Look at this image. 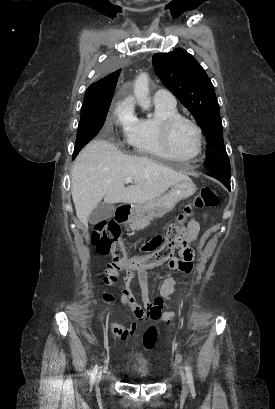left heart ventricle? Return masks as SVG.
<instances>
[{"instance_id": "left-heart-ventricle-1", "label": "left heart ventricle", "mask_w": 275, "mask_h": 409, "mask_svg": "<svg viewBox=\"0 0 275 409\" xmlns=\"http://www.w3.org/2000/svg\"><path fill=\"white\" fill-rule=\"evenodd\" d=\"M196 145L195 134L188 124L182 123L175 128L172 137V147L177 156H192L196 151Z\"/></svg>"}]
</instances>
